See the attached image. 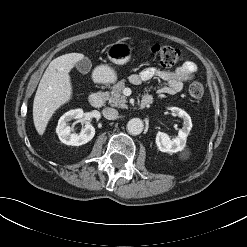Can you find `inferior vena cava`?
Returning a JSON list of instances; mask_svg holds the SVG:
<instances>
[{
    "mask_svg": "<svg viewBox=\"0 0 247 247\" xmlns=\"http://www.w3.org/2000/svg\"><path fill=\"white\" fill-rule=\"evenodd\" d=\"M102 113L108 120H115L118 117V111L114 108L106 107L103 109Z\"/></svg>",
    "mask_w": 247,
    "mask_h": 247,
    "instance_id": "inferior-vena-cava-1",
    "label": "inferior vena cava"
}]
</instances>
